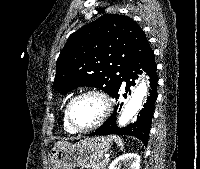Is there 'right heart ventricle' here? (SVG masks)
I'll use <instances>...</instances> for the list:
<instances>
[{
  "label": "right heart ventricle",
  "mask_w": 200,
  "mask_h": 169,
  "mask_svg": "<svg viewBox=\"0 0 200 169\" xmlns=\"http://www.w3.org/2000/svg\"><path fill=\"white\" fill-rule=\"evenodd\" d=\"M66 107H67V105L65 106V109H64V112H63V128L68 133H75V131L72 129V127L68 123V120H67V117H66Z\"/></svg>",
  "instance_id": "e07e8e85"
}]
</instances>
